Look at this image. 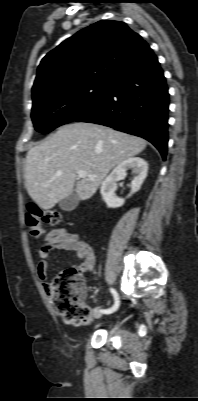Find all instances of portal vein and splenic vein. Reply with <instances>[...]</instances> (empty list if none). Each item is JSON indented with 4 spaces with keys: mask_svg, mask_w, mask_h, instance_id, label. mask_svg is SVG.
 Instances as JSON below:
<instances>
[{
    "mask_svg": "<svg viewBox=\"0 0 198 401\" xmlns=\"http://www.w3.org/2000/svg\"><path fill=\"white\" fill-rule=\"evenodd\" d=\"M77 174H78V177H79V178L88 177V178L92 179V178L94 177V176H92V175H87V173H86L85 171H83V170H79V171L77 172Z\"/></svg>",
    "mask_w": 198,
    "mask_h": 401,
    "instance_id": "18ae733b",
    "label": "portal vein and splenic vein"
}]
</instances>
